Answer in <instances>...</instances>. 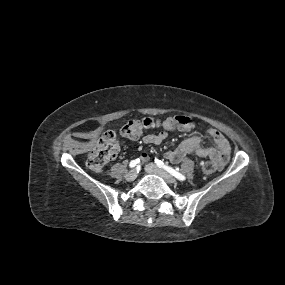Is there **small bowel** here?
Returning <instances> with one entry per match:
<instances>
[{"mask_svg": "<svg viewBox=\"0 0 285 285\" xmlns=\"http://www.w3.org/2000/svg\"><path fill=\"white\" fill-rule=\"evenodd\" d=\"M153 127L160 128L156 133L145 134L142 137V141L145 144L159 145L168 138L169 132L175 130V128L165 125H155ZM207 136L211 137L214 141V146L205 147L202 145V137L199 135H191L184 139L178 147L168 151L166 158L173 163H180L187 155L194 154L199 158L212 159L218 169H222L230 154V145L228 140L219 133L216 129L209 128L206 131ZM144 160H147V156H142Z\"/></svg>", "mask_w": 285, "mask_h": 285, "instance_id": "1", "label": "small bowel"}]
</instances>
